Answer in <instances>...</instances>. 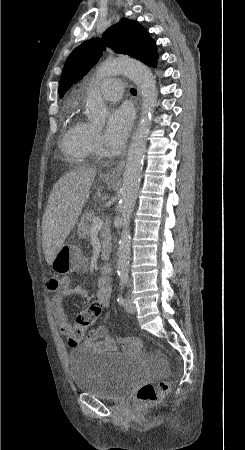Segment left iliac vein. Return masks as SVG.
Instances as JSON below:
<instances>
[{
	"label": "left iliac vein",
	"instance_id": "1",
	"mask_svg": "<svg viewBox=\"0 0 245 450\" xmlns=\"http://www.w3.org/2000/svg\"><path fill=\"white\" fill-rule=\"evenodd\" d=\"M124 308L126 309L127 312L134 314L136 313V307L133 304V302L131 301L130 298H126L125 302H124Z\"/></svg>",
	"mask_w": 245,
	"mask_h": 450
}]
</instances>
